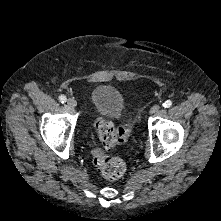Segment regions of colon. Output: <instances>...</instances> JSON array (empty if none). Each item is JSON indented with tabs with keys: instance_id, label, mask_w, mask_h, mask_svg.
<instances>
[{
	"instance_id": "obj_1",
	"label": "colon",
	"mask_w": 221,
	"mask_h": 221,
	"mask_svg": "<svg viewBox=\"0 0 221 221\" xmlns=\"http://www.w3.org/2000/svg\"><path fill=\"white\" fill-rule=\"evenodd\" d=\"M95 127L102 144L106 148L126 143L131 131L130 124L128 123L115 127L111 122L103 119H98ZM92 157L94 164L107 179H119L126 171V166L122 159L109 156L103 150H94L92 152Z\"/></svg>"
}]
</instances>
